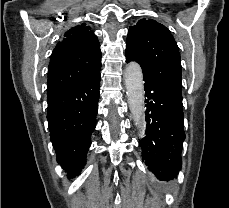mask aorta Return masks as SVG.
<instances>
[{"instance_id":"1","label":"aorta","mask_w":229,"mask_h":208,"mask_svg":"<svg viewBox=\"0 0 229 208\" xmlns=\"http://www.w3.org/2000/svg\"><path fill=\"white\" fill-rule=\"evenodd\" d=\"M125 85L131 115L139 131L145 129L144 85L140 65L131 62L125 69Z\"/></svg>"}]
</instances>
